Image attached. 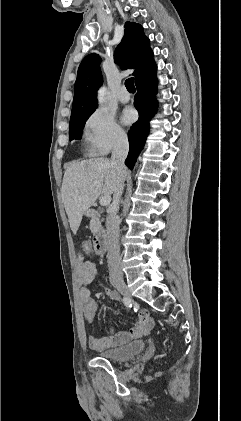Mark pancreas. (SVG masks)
I'll return each mask as SVG.
<instances>
[{
  "label": "pancreas",
  "mask_w": 241,
  "mask_h": 421,
  "mask_svg": "<svg viewBox=\"0 0 241 421\" xmlns=\"http://www.w3.org/2000/svg\"><path fill=\"white\" fill-rule=\"evenodd\" d=\"M102 220L98 216H94L90 221V230L93 234H97L102 230Z\"/></svg>",
  "instance_id": "pancreas-1"
}]
</instances>
